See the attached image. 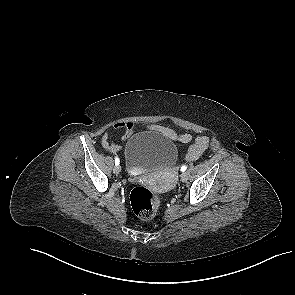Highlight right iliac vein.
<instances>
[{
    "instance_id": "63e3f726",
    "label": "right iliac vein",
    "mask_w": 295,
    "mask_h": 295,
    "mask_svg": "<svg viewBox=\"0 0 295 295\" xmlns=\"http://www.w3.org/2000/svg\"><path fill=\"white\" fill-rule=\"evenodd\" d=\"M114 174L118 175L121 172V168L119 165H115L113 168Z\"/></svg>"
}]
</instances>
